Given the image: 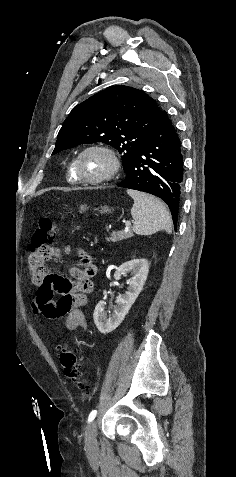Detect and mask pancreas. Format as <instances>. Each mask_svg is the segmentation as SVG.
Masks as SVG:
<instances>
[{"label": "pancreas", "mask_w": 236, "mask_h": 477, "mask_svg": "<svg viewBox=\"0 0 236 477\" xmlns=\"http://www.w3.org/2000/svg\"><path fill=\"white\" fill-rule=\"evenodd\" d=\"M133 236V232L131 229H129L126 232L120 231V232H113L110 236V238H106L108 242H118L124 239L131 238Z\"/></svg>", "instance_id": "1"}]
</instances>
